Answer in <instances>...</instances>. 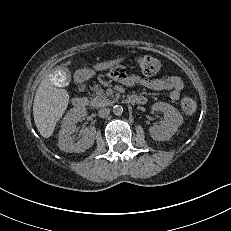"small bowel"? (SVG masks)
I'll use <instances>...</instances> for the list:
<instances>
[{
  "label": "small bowel",
  "instance_id": "c3829d8e",
  "mask_svg": "<svg viewBox=\"0 0 231 231\" xmlns=\"http://www.w3.org/2000/svg\"><path fill=\"white\" fill-rule=\"evenodd\" d=\"M109 77L127 87L139 85L151 90L169 91L170 98L173 101H177L180 98L184 87L183 81L179 77L171 75L150 79L141 78L138 75L113 71L109 73Z\"/></svg>",
  "mask_w": 231,
  "mask_h": 231
}]
</instances>
